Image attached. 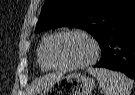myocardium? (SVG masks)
Segmentation results:
<instances>
[{
    "instance_id": "1",
    "label": "myocardium",
    "mask_w": 135,
    "mask_h": 95,
    "mask_svg": "<svg viewBox=\"0 0 135 95\" xmlns=\"http://www.w3.org/2000/svg\"><path fill=\"white\" fill-rule=\"evenodd\" d=\"M66 35H77V36L85 38L92 47L91 57L88 60H86L85 62L80 63V64H75V65L57 64L52 58V48H53V45L56 42V40H58L62 36H66ZM98 56H99V46H98L97 42L91 35H89L88 33L84 32V31H81V30H64V31L54 34L51 37V39L47 45L46 53H45L46 61L50 67H52L53 69L65 70V71L84 69V68L88 67L89 65L93 64L96 61V59L98 58Z\"/></svg>"
}]
</instances>
